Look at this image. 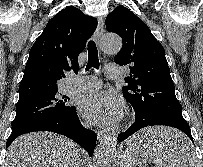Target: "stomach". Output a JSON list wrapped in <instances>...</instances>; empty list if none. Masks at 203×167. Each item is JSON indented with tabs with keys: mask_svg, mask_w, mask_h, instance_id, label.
<instances>
[{
	"mask_svg": "<svg viewBox=\"0 0 203 167\" xmlns=\"http://www.w3.org/2000/svg\"><path fill=\"white\" fill-rule=\"evenodd\" d=\"M153 131L161 128H152ZM144 134L149 135L148 129L143 130ZM153 139L152 137L148 136L145 140H150ZM135 143H128L126 146V151L119 154L117 157V161L119 164V167H137L140 162L141 158L137 156L135 148H134Z\"/></svg>",
	"mask_w": 203,
	"mask_h": 167,
	"instance_id": "obj_1",
	"label": "stomach"
}]
</instances>
